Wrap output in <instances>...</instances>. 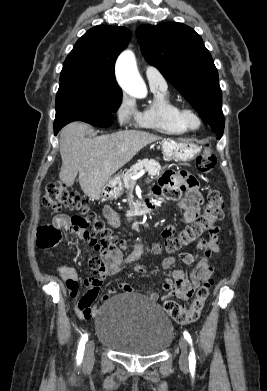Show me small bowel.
<instances>
[{
	"instance_id": "obj_1",
	"label": "small bowel",
	"mask_w": 267,
	"mask_h": 391,
	"mask_svg": "<svg viewBox=\"0 0 267 391\" xmlns=\"http://www.w3.org/2000/svg\"><path fill=\"white\" fill-rule=\"evenodd\" d=\"M154 194L156 196L163 195L167 199L177 200L178 207L183 212L182 218L184 223L192 224L199 218L203 197L198 189V182L194 177L184 172L167 170L154 188ZM103 215L112 227L120 225L119 215L110 206H106L103 209ZM53 223L58 230L71 232L80 239L90 242L91 235L87 230L88 224L80 222L77 216L59 215L55 217ZM175 232L176 228L174 225H167L162 231V236L169 238L174 236ZM198 249L201 252L200 255H193L185 251L180 252L178 255V259L182 263L186 265L195 264V269L190 276L187 277L184 271L180 269L172 271L171 276L163 283L161 292L148 294L150 300L158 302L167 297H177L186 300L191 297L193 291L201 282L210 279L213 272L210 258L220 251L218 229L209 239L199 238ZM176 261L177 259L174 257L165 258L162 262L163 269L170 268ZM122 264V252L116 247L99 252L97 257L90 260L93 275L85 279L87 292L79 299L75 307L76 315L79 318L90 319L94 316L96 312L95 301L98 298L100 285L106 276L118 273ZM58 270L66 282L70 295L76 297L79 291L77 271L66 265H60ZM135 270L137 272H145L141 266H135ZM118 288L124 292L133 291L131 285L126 281L120 282ZM115 292L116 288L110 287L103 299H107Z\"/></svg>"
}]
</instances>
